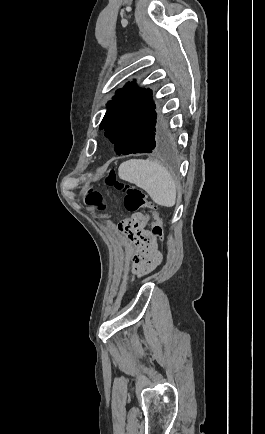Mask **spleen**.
<instances>
[{
  "mask_svg": "<svg viewBox=\"0 0 265 434\" xmlns=\"http://www.w3.org/2000/svg\"><path fill=\"white\" fill-rule=\"evenodd\" d=\"M119 178L145 190L158 206L172 208L176 204V186L170 172L158 162L128 160L120 164Z\"/></svg>",
  "mask_w": 265,
  "mask_h": 434,
  "instance_id": "spleen-1",
  "label": "spleen"
}]
</instances>
